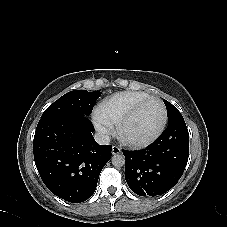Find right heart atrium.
Instances as JSON below:
<instances>
[{
    "label": "right heart atrium",
    "instance_id": "1",
    "mask_svg": "<svg viewBox=\"0 0 227 227\" xmlns=\"http://www.w3.org/2000/svg\"><path fill=\"white\" fill-rule=\"evenodd\" d=\"M93 123L96 130L103 136L108 137L113 133V124L102 118L97 112L93 115Z\"/></svg>",
    "mask_w": 227,
    "mask_h": 227
}]
</instances>
